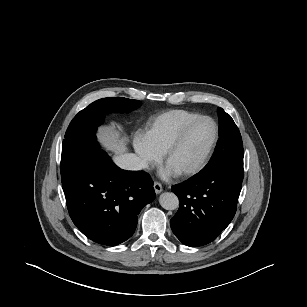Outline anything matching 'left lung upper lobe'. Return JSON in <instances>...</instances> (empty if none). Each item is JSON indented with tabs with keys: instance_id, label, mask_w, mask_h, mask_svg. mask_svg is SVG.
Segmentation results:
<instances>
[{
	"instance_id": "5c2ea615",
	"label": "left lung upper lobe",
	"mask_w": 307,
	"mask_h": 307,
	"mask_svg": "<svg viewBox=\"0 0 307 307\" xmlns=\"http://www.w3.org/2000/svg\"><path fill=\"white\" fill-rule=\"evenodd\" d=\"M219 140L209 163L200 172L222 171L243 180V143L233 119L218 108Z\"/></svg>"
}]
</instances>
